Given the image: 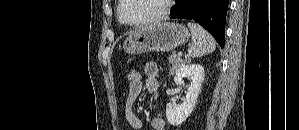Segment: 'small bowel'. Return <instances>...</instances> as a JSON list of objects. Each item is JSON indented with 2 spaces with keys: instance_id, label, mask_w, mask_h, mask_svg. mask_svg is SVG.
Segmentation results:
<instances>
[{
  "instance_id": "small-bowel-1",
  "label": "small bowel",
  "mask_w": 299,
  "mask_h": 130,
  "mask_svg": "<svg viewBox=\"0 0 299 130\" xmlns=\"http://www.w3.org/2000/svg\"><path fill=\"white\" fill-rule=\"evenodd\" d=\"M144 74L146 76L145 82L141 81L136 85H129V90L125 101V118L130 126L135 130L142 128V121L135 114L133 106L143 90V87H145L149 92H154L157 89V78L159 75V68L157 64L154 62H148L144 67ZM151 126L152 130H165L164 120L160 117H155L151 122Z\"/></svg>"
}]
</instances>
